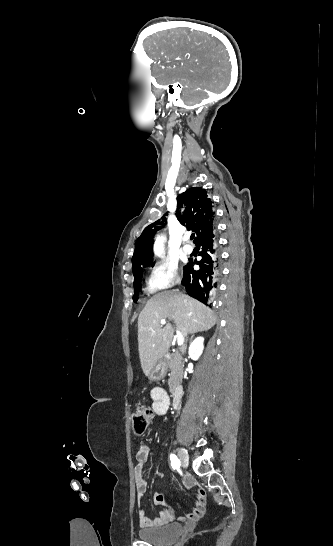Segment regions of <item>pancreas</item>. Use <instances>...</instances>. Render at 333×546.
Masks as SVG:
<instances>
[{
  "mask_svg": "<svg viewBox=\"0 0 333 546\" xmlns=\"http://www.w3.org/2000/svg\"><path fill=\"white\" fill-rule=\"evenodd\" d=\"M167 367L170 369L168 384L170 391L174 392L176 387L180 385L183 374V358L178 352L171 354L167 360Z\"/></svg>",
  "mask_w": 333,
  "mask_h": 546,
  "instance_id": "pancreas-1",
  "label": "pancreas"
}]
</instances>
